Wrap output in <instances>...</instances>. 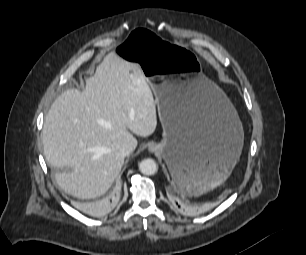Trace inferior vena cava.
<instances>
[{
	"label": "inferior vena cava",
	"mask_w": 306,
	"mask_h": 255,
	"mask_svg": "<svg viewBox=\"0 0 306 255\" xmlns=\"http://www.w3.org/2000/svg\"><path fill=\"white\" fill-rule=\"evenodd\" d=\"M135 147L130 145V144H124L122 147L119 149V153L121 156L126 157L129 156L133 151Z\"/></svg>",
	"instance_id": "obj_1"
}]
</instances>
